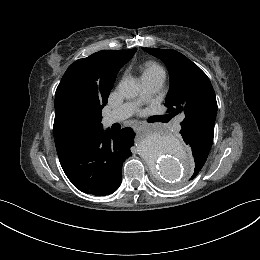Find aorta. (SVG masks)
I'll return each mask as SVG.
<instances>
[{"label":"aorta","instance_id":"762f6f07","mask_svg":"<svg viewBox=\"0 0 260 260\" xmlns=\"http://www.w3.org/2000/svg\"><path fill=\"white\" fill-rule=\"evenodd\" d=\"M119 92L125 98H133L140 91L135 79H125L119 84ZM139 153L151 167L153 176L165 183H174L187 178L192 170V161L181 141L162 127L148 128L139 143Z\"/></svg>","mask_w":260,"mask_h":260}]
</instances>
